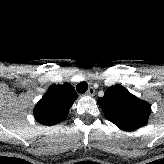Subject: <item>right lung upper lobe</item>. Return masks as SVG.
Wrapping results in <instances>:
<instances>
[{
  "instance_id": "1",
  "label": "right lung upper lobe",
  "mask_w": 164,
  "mask_h": 164,
  "mask_svg": "<svg viewBox=\"0 0 164 164\" xmlns=\"http://www.w3.org/2000/svg\"><path fill=\"white\" fill-rule=\"evenodd\" d=\"M78 95L69 83L51 86L34 108L35 119L44 125H54L67 118Z\"/></svg>"
}]
</instances>
